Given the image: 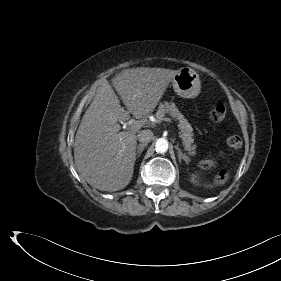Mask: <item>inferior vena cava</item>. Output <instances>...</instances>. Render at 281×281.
Masks as SVG:
<instances>
[{
    "instance_id": "obj_1",
    "label": "inferior vena cava",
    "mask_w": 281,
    "mask_h": 281,
    "mask_svg": "<svg viewBox=\"0 0 281 281\" xmlns=\"http://www.w3.org/2000/svg\"><path fill=\"white\" fill-rule=\"evenodd\" d=\"M153 137H154V134L149 129L148 130H142L137 135V139L142 144H147L148 142H150L153 139Z\"/></svg>"
}]
</instances>
